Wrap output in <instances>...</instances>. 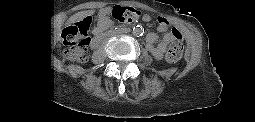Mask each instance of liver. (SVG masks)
<instances>
[{"label": "liver", "mask_w": 255, "mask_h": 122, "mask_svg": "<svg viewBox=\"0 0 255 122\" xmlns=\"http://www.w3.org/2000/svg\"><path fill=\"white\" fill-rule=\"evenodd\" d=\"M72 20H76V17H73Z\"/></svg>", "instance_id": "1"}]
</instances>
